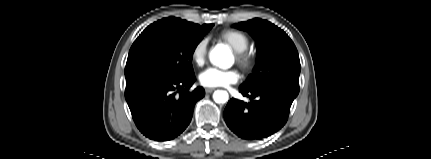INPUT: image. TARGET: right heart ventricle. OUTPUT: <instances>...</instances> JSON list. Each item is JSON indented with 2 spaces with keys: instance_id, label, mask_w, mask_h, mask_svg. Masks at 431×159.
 I'll return each mask as SVG.
<instances>
[{
  "instance_id": "e07e8e85",
  "label": "right heart ventricle",
  "mask_w": 431,
  "mask_h": 159,
  "mask_svg": "<svg viewBox=\"0 0 431 159\" xmlns=\"http://www.w3.org/2000/svg\"><path fill=\"white\" fill-rule=\"evenodd\" d=\"M219 38L228 44L235 52L247 50L249 38L246 34L238 30H224L219 34Z\"/></svg>"
}]
</instances>
